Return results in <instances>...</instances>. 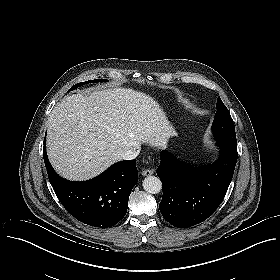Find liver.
<instances>
[{
    "label": "liver",
    "mask_w": 280,
    "mask_h": 280,
    "mask_svg": "<svg viewBox=\"0 0 280 280\" xmlns=\"http://www.w3.org/2000/svg\"><path fill=\"white\" fill-rule=\"evenodd\" d=\"M173 133L151 96L121 87L95 90L67 96L54 107L47 153L61 176L82 181L101 174L132 147H166Z\"/></svg>",
    "instance_id": "6515ba94"
}]
</instances>
